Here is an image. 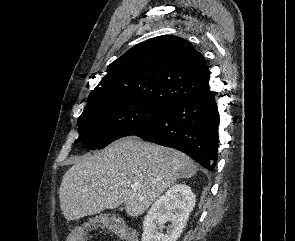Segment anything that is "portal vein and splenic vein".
Instances as JSON below:
<instances>
[{
  "instance_id": "18ae733b",
  "label": "portal vein and splenic vein",
  "mask_w": 295,
  "mask_h": 241,
  "mask_svg": "<svg viewBox=\"0 0 295 241\" xmlns=\"http://www.w3.org/2000/svg\"><path fill=\"white\" fill-rule=\"evenodd\" d=\"M131 188H132V190H137L138 188H139V185L138 184H133L132 186H131Z\"/></svg>"
}]
</instances>
